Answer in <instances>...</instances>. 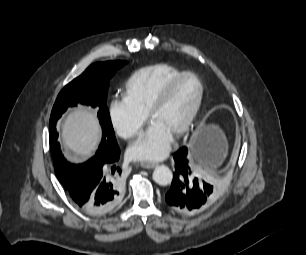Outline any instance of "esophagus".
<instances>
[{
  "instance_id": "1",
  "label": "esophagus",
  "mask_w": 306,
  "mask_h": 255,
  "mask_svg": "<svg viewBox=\"0 0 306 255\" xmlns=\"http://www.w3.org/2000/svg\"><path fill=\"white\" fill-rule=\"evenodd\" d=\"M156 163L154 162H150V161H143L141 162V167L144 169H152L154 167H156Z\"/></svg>"
}]
</instances>
